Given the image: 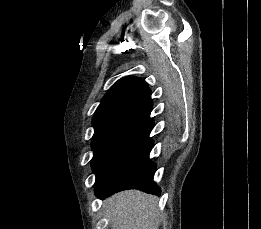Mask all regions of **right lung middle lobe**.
<instances>
[{
    "label": "right lung middle lobe",
    "mask_w": 261,
    "mask_h": 229,
    "mask_svg": "<svg viewBox=\"0 0 261 229\" xmlns=\"http://www.w3.org/2000/svg\"><path fill=\"white\" fill-rule=\"evenodd\" d=\"M151 130H141L132 137V146L128 149H100L94 148V157L92 159V168L96 174V181L118 160L132 154L140 148L149 138Z\"/></svg>",
    "instance_id": "obj_1"
}]
</instances>
